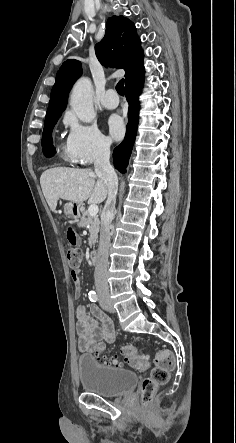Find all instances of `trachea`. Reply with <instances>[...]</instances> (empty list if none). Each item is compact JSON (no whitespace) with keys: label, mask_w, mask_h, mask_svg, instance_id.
Returning a JSON list of instances; mask_svg holds the SVG:
<instances>
[{"label":"trachea","mask_w":236,"mask_h":443,"mask_svg":"<svg viewBox=\"0 0 236 443\" xmlns=\"http://www.w3.org/2000/svg\"><path fill=\"white\" fill-rule=\"evenodd\" d=\"M117 92L123 96L124 95V79H121L116 85Z\"/></svg>","instance_id":"3493384b"}]
</instances>
